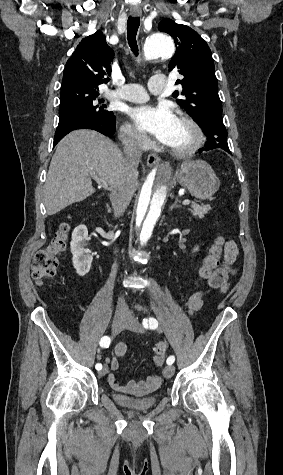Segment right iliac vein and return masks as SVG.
<instances>
[{
	"mask_svg": "<svg viewBox=\"0 0 283 475\" xmlns=\"http://www.w3.org/2000/svg\"><path fill=\"white\" fill-rule=\"evenodd\" d=\"M127 315L125 313H117L112 320V331L114 333L120 332L125 325ZM108 371L106 366L99 372V376H104Z\"/></svg>",
	"mask_w": 283,
	"mask_h": 475,
	"instance_id": "63e3f726",
	"label": "right iliac vein"
}]
</instances>
